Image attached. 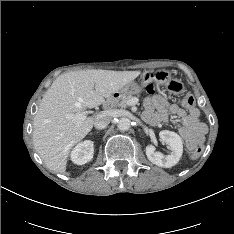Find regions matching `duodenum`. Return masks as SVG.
<instances>
[{
	"label": "duodenum",
	"mask_w": 234,
	"mask_h": 234,
	"mask_svg": "<svg viewBox=\"0 0 234 234\" xmlns=\"http://www.w3.org/2000/svg\"><path fill=\"white\" fill-rule=\"evenodd\" d=\"M119 95L118 94H114L113 96H111L110 98H108L106 100V102L104 103V107L105 108H110L118 99Z\"/></svg>",
	"instance_id": "1"
}]
</instances>
